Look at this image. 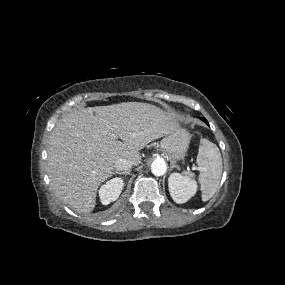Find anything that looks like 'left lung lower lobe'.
<instances>
[{"instance_id": "obj_1", "label": "left lung lower lobe", "mask_w": 285, "mask_h": 285, "mask_svg": "<svg viewBox=\"0 0 285 285\" xmlns=\"http://www.w3.org/2000/svg\"><path fill=\"white\" fill-rule=\"evenodd\" d=\"M201 120H203L206 124L209 125V123L207 122V120L205 118H201Z\"/></svg>"}]
</instances>
